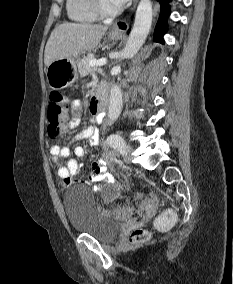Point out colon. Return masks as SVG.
Segmentation results:
<instances>
[{
    "label": "colon",
    "mask_w": 233,
    "mask_h": 284,
    "mask_svg": "<svg viewBox=\"0 0 233 284\" xmlns=\"http://www.w3.org/2000/svg\"><path fill=\"white\" fill-rule=\"evenodd\" d=\"M66 97L58 92L53 91L49 97L47 109V132L51 138H58L65 130L66 121ZM155 202L151 198L143 200L138 208L143 213H149L154 209ZM114 215L120 219L128 218L131 214L129 208H118ZM176 220V215L172 210H166L160 217V222L163 225L172 224ZM150 238V233L144 229L138 228L131 232L130 241L133 243H141Z\"/></svg>",
    "instance_id": "obj_1"
}]
</instances>
